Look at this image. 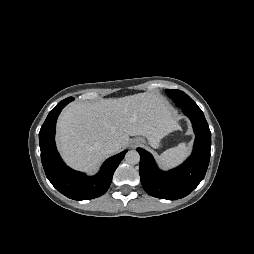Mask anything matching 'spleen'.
<instances>
[{
    "label": "spleen",
    "mask_w": 254,
    "mask_h": 254,
    "mask_svg": "<svg viewBox=\"0 0 254 254\" xmlns=\"http://www.w3.org/2000/svg\"><path fill=\"white\" fill-rule=\"evenodd\" d=\"M189 152L190 147L185 143H180L178 146L164 151L157 157V161L162 168L168 169L181 163L189 155Z\"/></svg>",
    "instance_id": "3e777b00"
}]
</instances>
